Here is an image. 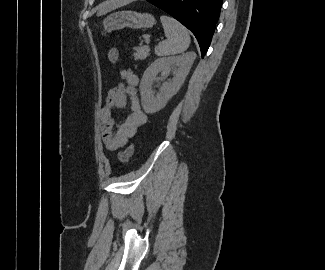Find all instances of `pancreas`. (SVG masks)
Returning <instances> with one entry per match:
<instances>
[{"label": "pancreas", "mask_w": 325, "mask_h": 270, "mask_svg": "<svg viewBox=\"0 0 325 270\" xmlns=\"http://www.w3.org/2000/svg\"><path fill=\"white\" fill-rule=\"evenodd\" d=\"M133 57L135 60H143L150 55V49L147 46L134 47Z\"/></svg>", "instance_id": "1"}]
</instances>
